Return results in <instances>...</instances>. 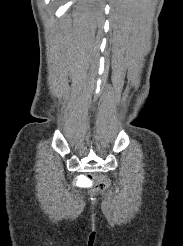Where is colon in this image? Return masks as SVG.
<instances>
[{
	"mask_svg": "<svg viewBox=\"0 0 183 246\" xmlns=\"http://www.w3.org/2000/svg\"><path fill=\"white\" fill-rule=\"evenodd\" d=\"M87 181L92 185L94 192H101L108 186L105 177H95V174H87Z\"/></svg>",
	"mask_w": 183,
	"mask_h": 246,
	"instance_id": "obj_1",
	"label": "colon"
}]
</instances>
